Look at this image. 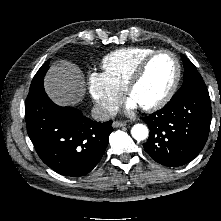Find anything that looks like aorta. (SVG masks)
I'll list each match as a JSON object with an SVG mask.
<instances>
[{"label": "aorta", "instance_id": "obj_1", "mask_svg": "<svg viewBox=\"0 0 221 221\" xmlns=\"http://www.w3.org/2000/svg\"><path fill=\"white\" fill-rule=\"evenodd\" d=\"M131 135L135 140L142 141L145 140L149 135L148 128L143 124H135L131 128Z\"/></svg>", "mask_w": 221, "mask_h": 221}]
</instances>
